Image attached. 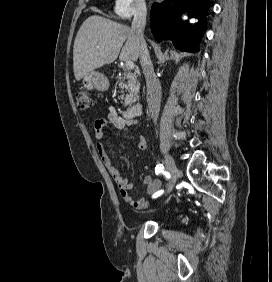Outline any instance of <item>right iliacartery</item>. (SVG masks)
<instances>
[{"instance_id":"1","label":"right iliac artery","mask_w":272,"mask_h":282,"mask_svg":"<svg viewBox=\"0 0 272 282\" xmlns=\"http://www.w3.org/2000/svg\"><path fill=\"white\" fill-rule=\"evenodd\" d=\"M155 173L158 174H164L166 177H170L169 172L165 171L164 167L162 165H157L155 168ZM164 190H160L153 194V198L159 197L161 194H163Z\"/></svg>"}]
</instances>
